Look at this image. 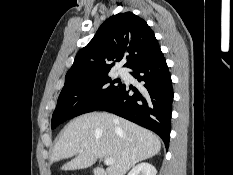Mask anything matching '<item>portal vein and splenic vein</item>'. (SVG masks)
Here are the masks:
<instances>
[{"mask_svg": "<svg viewBox=\"0 0 233 175\" xmlns=\"http://www.w3.org/2000/svg\"><path fill=\"white\" fill-rule=\"evenodd\" d=\"M115 162V160L114 159H112V158H105V160H104V163L106 164V165H111V164H113Z\"/></svg>", "mask_w": 233, "mask_h": 175, "instance_id": "1", "label": "portal vein and splenic vein"}]
</instances>
